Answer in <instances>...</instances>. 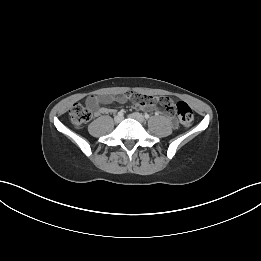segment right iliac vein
Instances as JSON below:
<instances>
[{"mask_svg":"<svg viewBox=\"0 0 261 261\" xmlns=\"http://www.w3.org/2000/svg\"><path fill=\"white\" fill-rule=\"evenodd\" d=\"M122 119H123L122 116L116 115V116L114 117V122H115V123H120V122L122 121Z\"/></svg>","mask_w":261,"mask_h":261,"instance_id":"1","label":"right iliac vein"}]
</instances>
